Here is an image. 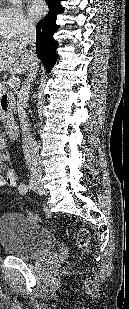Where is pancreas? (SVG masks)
Instances as JSON below:
<instances>
[{"mask_svg": "<svg viewBox=\"0 0 129 309\" xmlns=\"http://www.w3.org/2000/svg\"><path fill=\"white\" fill-rule=\"evenodd\" d=\"M6 91H9V87L6 86V82H0V94ZM6 118H7L6 114H3L0 111V120L6 121Z\"/></svg>", "mask_w": 129, "mask_h": 309, "instance_id": "pancreas-1", "label": "pancreas"}]
</instances>
